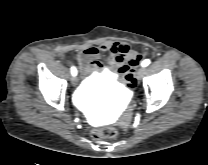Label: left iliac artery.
I'll return each mask as SVG.
<instances>
[{
    "mask_svg": "<svg viewBox=\"0 0 208 165\" xmlns=\"http://www.w3.org/2000/svg\"><path fill=\"white\" fill-rule=\"evenodd\" d=\"M150 64V60L149 59H145L143 62H142V67H146Z\"/></svg>",
    "mask_w": 208,
    "mask_h": 165,
    "instance_id": "1",
    "label": "left iliac artery"
}]
</instances>
